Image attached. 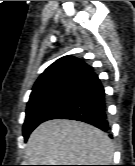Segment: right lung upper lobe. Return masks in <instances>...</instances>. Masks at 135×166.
<instances>
[{
    "label": "right lung upper lobe",
    "mask_w": 135,
    "mask_h": 166,
    "mask_svg": "<svg viewBox=\"0 0 135 166\" xmlns=\"http://www.w3.org/2000/svg\"><path fill=\"white\" fill-rule=\"evenodd\" d=\"M93 72L92 67L82 60L68 55L51 64L35 82L29 102L58 88L77 82Z\"/></svg>",
    "instance_id": "right-lung-upper-lobe-1"
}]
</instances>
